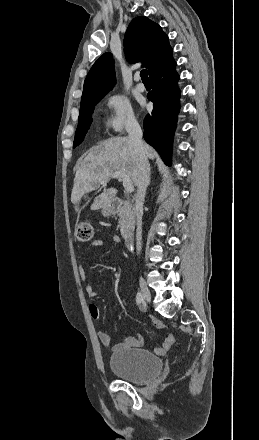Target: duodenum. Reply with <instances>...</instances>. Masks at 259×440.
Masks as SVG:
<instances>
[{"label": "duodenum", "instance_id": "1", "mask_svg": "<svg viewBox=\"0 0 259 440\" xmlns=\"http://www.w3.org/2000/svg\"><path fill=\"white\" fill-rule=\"evenodd\" d=\"M121 201L120 199H113L110 203H109V209L111 211L115 210L119 205H120ZM124 241H125V245L127 248H132L133 244H134V236L131 232H127L124 234Z\"/></svg>", "mask_w": 259, "mask_h": 440}]
</instances>
